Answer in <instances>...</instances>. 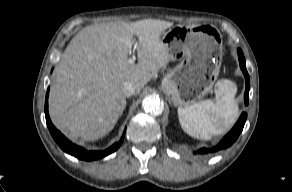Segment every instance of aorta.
<instances>
[{
	"instance_id": "1",
	"label": "aorta",
	"mask_w": 292,
	"mask_h": 192,
	"mask_svg": "<svg viewBox=\"0 0 292 192\" xmlns=\"http://www.w3.org/2000/svg\"><path fill=\"white\" fill-rule=\"evenodd\" d=\"M142 107L145 112L157 116L163 111L160 99L155 95H148L142 101Z\"/></svg>"
}]
</instances>
